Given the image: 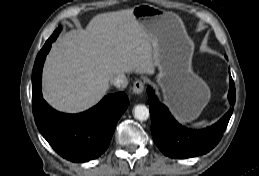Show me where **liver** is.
I'll list each match as a JSON object with an SVG mask.
<instances>
[{"label":"liver","mask_w":259,"mask_h":176,"mask_svg":"<svg viewBox=\"0 0 259 176\" xmlns=\"http://www.w3.org/2000/svg\"><path fill=\"white\" fill-rule=\"evenodd\" d=\"M155 47L133 9L96 15L86 29L59 38L43 69V97L64 112H81L98 103L118 74H152Z\"/></svg>","instance_id":"1"}]
</instances>
